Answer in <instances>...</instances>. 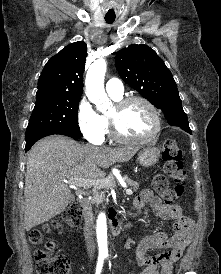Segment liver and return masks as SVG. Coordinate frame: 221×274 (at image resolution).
I'll return each mask as SVG.
<instances>
[{"label": "liver", "instance_id": "1", "mask_svg": "<svg viewBox=\"0 0 221 274\" xmlns=\"http://www.w3.org/2000/svg\"><path fill=\"white\" fill-rule=\"evenodd\" d=\"M136 148L81 145L63 136L38 141L28 152L24 188V225L29 231L59 215L72 198L64 180L101 179L116 162H127Z\"/></svg>", "mask_w": 221, "mask_h": 274}]
</instances>
